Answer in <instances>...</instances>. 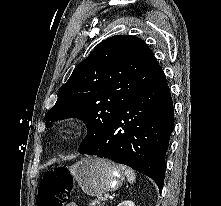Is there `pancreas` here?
<instances>
[{
    "mask_svg": "<svg viewBox=\"0 0 221 206\" xmlns=\"http://www.w3.org/2000/svg\"><path fill=\"white\" fill-rule=\"evenodd\" d=\"M105 200L106 199L104 196H98L97 199H94L93 201L89 203V206H101L104 203L103 201Z\"/></svg>",
    "mask_w": 221,
    "mask_h": 206,
    "instance_id": "1",
    "label": "pancreas"
}]
</instances>
